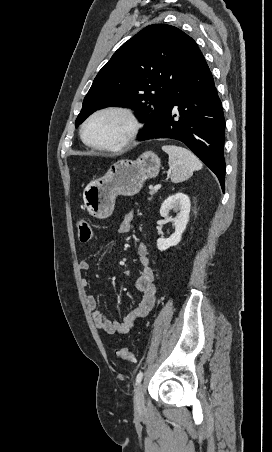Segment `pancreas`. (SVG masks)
I'll return each instance as SVG.
<instances>
[{
	"label": "pancreas",
	"instance_id": "cf45deb5",
	"mask_svg": "<svg viewBox=\"0 0 272 452\" xmlns=\"http://www.w3.org/2000/svg\"><path fill=\"white\" fill-rule=\"evenodd\" d=\"M149 193L152 196V195H154L156 193V191L154 189H151Z\"/></svg>",
	"mask_w": 272,
	"mask_h": 452
}]
</instances>
